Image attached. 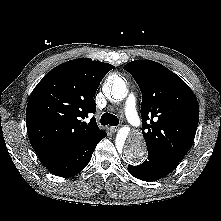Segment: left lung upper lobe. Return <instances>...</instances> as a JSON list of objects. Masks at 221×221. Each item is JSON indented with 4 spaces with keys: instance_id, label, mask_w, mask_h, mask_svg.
I'll return each mask as SVG.
<instances>
[{
    "instance_id": "obj_1",
    "label": "left lung upper lobe",
    "mask_w": 221,
    "mask_h": 221,
    "mask_svg": "<svg viewBox=\"0 0 221 221\" xmlns=\"http://www.w3.org/2000/svg\"><path fill=\"white\" fill-rule=\"evenodd\" d=\"M124 69L142 93V133L147 148L181 161L194 141L199 121L194 93L160 63L135 60Z\"/></svg>"
}]
</instances>
